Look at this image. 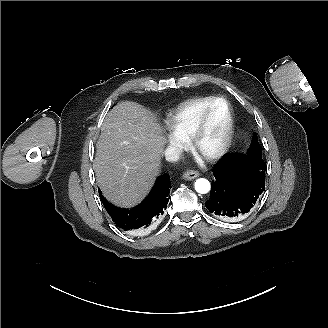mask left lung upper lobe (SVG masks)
Returning a JSON list of instances; mask_svg holds the SVG:
<instances>
[{
	"label": "left lung upper lobe",
	"mask_w": 328,
	"mask_h": 328,
	"mask_svg": "<svg viewBox=\"0 0 328 328\" xmlns=\"http://www.w3.org/2000/svg\"><path fill=\"white\" fill-rule=\"evenodd\" d=\"M259 143H258V140H257V136H254V138H253V142H252V145H251V147L249 148V151L248 152H250L252 149H254V147L256 146V145H258Z\"/></svg>",
	"instance_id": "left-lung-upper-lobe-1"
}]
</instances>
